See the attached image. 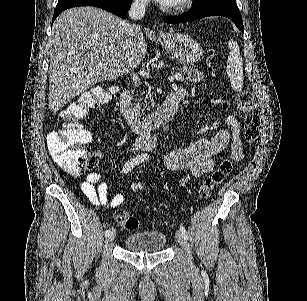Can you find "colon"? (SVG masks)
<instances>
[{
  "instance_id": "obj_1",
  "label": "colon",
  "mask_w": 307,
  "mask_h": 301,
  "mask_svg": "<svg viewBox=\"0 0 307 301\" xmlns=\"http://www.w3.org/2000/svg\"><path fill=\"white\" fill-rule=\"evenodd\" d=\"M111 95V90L96 87L80 94L59 112L61 127L58 131L48 135L47 144L55 161L69 173L79 174L97 165L98 155L85 149V146L91 141V135L81 120L87 116L90 110L107 102ZM235 104L237 110L243 115L245 140L247 142L256 141L259 136L260 120L252 92L246 89L240 91L236 96ZM232 168L231 160H223L199 187V197L209 198L214 188L224 180ZM114 219L120 226L128 230H134L139 225L138 220L124 210L117 211Z\"/></svg>"
}]
</instances>
